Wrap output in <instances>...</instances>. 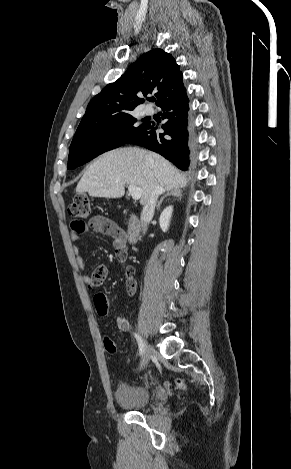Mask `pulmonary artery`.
<instances>
[{"label":"pulmonary artery","instance_id":"obj_1","mask_svg":"<svg viewBox=\"0 0 291 469\" xmlns=\"http://www.w3.org/2000/svg\"><path fill=\"white\" fill-rule=\"evenodd\" d=\"M145 113H146L147 115L152 114V109H151L150 107H147V108L145 109Z\"/></svg>","mask_w":291,"mask_h":469}]
</instances>
